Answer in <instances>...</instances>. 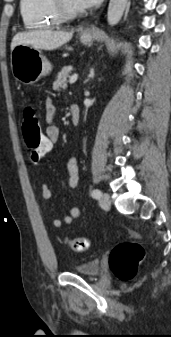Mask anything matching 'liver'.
Here are the masks:
<instances>
[{
  "label": "liver",
  "mask_w": 171,
  "mask_h": 337,
  "mask_svg": "<svg viewBox=\"0 0 171 337\" xmlns=\"http://www.w3.org/2000/svg\"><path fill=\"white\" fill-rule=\"evenodd\" d=\"M73 32L31 31L16 34L11 42V51L17 45H30L36 49L54 50L71 40Z\"/></svg>",
  "instance_id": "obj_1"
}]
</instances>
